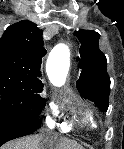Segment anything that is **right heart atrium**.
I'll list each match as a JSON object with an SVG mask.
<instances>
[{
    "label": "right heart atrium",
    "mask_w": 124,
    "mask_h": 149,
    "mask_svg": "<svg viewBox=\"0 0 124 149\" xmlns=\"http://www.w3.org/2000/svg\"><path fill=\"white\" fill-rule=\"evenodd\" d=\"M46 123H47L49 126H51V125L53 124L52 119H51L50 116H47V117H46Z\"/></svg>",
    "instance_id": "d8ad5b80"
}]
</instances>
